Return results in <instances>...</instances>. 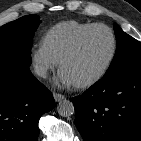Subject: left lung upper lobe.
Masks as SVG:
<instances>
[{"mask_svg":"<svg viewBox=\"0 0 141 141\" xmlns=\"http://www.w3.org/2000/svg\"><path fill=\"white\" fill-rule=\"evenodd\" d=\"M114 31L117 39L116 53L103 78L141 67V42L125 33L117 24H114Z\"/></svg>","mask_w":141,"mask_h":141,"instance_id":"5c2ea615","label":"left lung upper lobe"}]
</instances>
